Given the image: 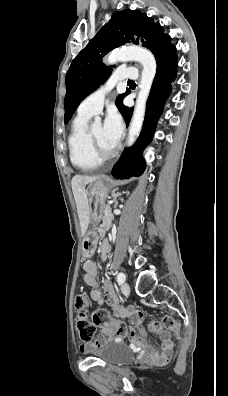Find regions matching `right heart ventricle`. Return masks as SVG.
Here are the masks:
<instances>
[{
	"instance_id": "obj_1",
	"label": "right heart ventricle",
	"mask_w": 228,
	"mask_h": 396,
	"mask_svg": "<svg viewBox=\"0 0 228 396\" xmlns=\"http://www.w3.org/2000/svg\"><path fill=\"white\" fill-rule=\"evenodd\" d=\"M92 115L78 113L68 137L71 162L80 170L89 172L99 167L100 161L94 156L90 141L88 121Z\"/></svg>"
}]
</instances>
